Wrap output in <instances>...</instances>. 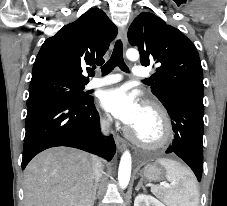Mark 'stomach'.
<instances>
[{
  "instance_id": "1",
  "label": "stomach",
  "mask_w": 227,
  "mask_h": 206,
  "mask_svg": "<svg viewBox=\"0 0 227 206\" xmlns=\"http://www.w3.org/2000/svg\"><path fill=\"white\" fill-rule=\"evenodd\" d=\"M163 169L155 164H147L140 172L139 175L142 179L147 181H158L163 176Z\"/></svg>"
}]
</instances>
